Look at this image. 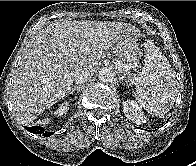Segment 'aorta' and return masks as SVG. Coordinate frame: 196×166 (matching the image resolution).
<instances>
[{
	"label": "aorta",
	"mask_w": 196,
	"mask_h": 166,
	"mask_svg": "<svg viewBox=\"0 0 196 166\" xmlns=\"http://www.w3.org/2000/svg\"><path fill=\"white\" fill-rule=\"evenodd\" d=\"M98 79L103 83H111L115 79V72L110 67H103L99 71Z\"/></svg>",
	"instance_id": "aorta-1"
}]
</instances>
